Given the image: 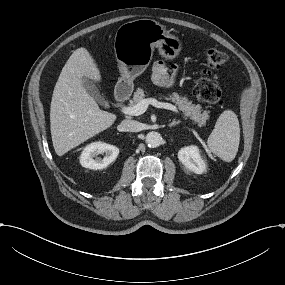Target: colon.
I'll use <instances>...</instances> for the list:
<instances>
[{"mask_svg": "<svg viewBox=\"0 0 285 285\" xmlns=\"http://www.w3.org/2000/svg\"><path fill=\"white\" fill-rule=\"evenodd\" d=\"M205 60L209 70L196 80L193 90L194 95L204 103L222 105L221 88L210 70L224 65L227 61V55L217 48H210L205 53Z\"/></svg>", "mask_w": 285, "mask_h": 285, "instance_id": "colon-1", "label": "colon"}]
</instances>
